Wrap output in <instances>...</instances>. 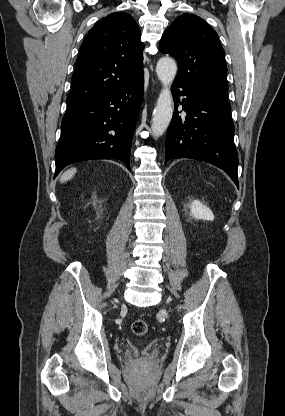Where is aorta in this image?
<instances>
[{
    "mask_svg": "<svg viewBox=\"0 0 285 416\" xmlns=\"http://www.w3.org/2000/svg\"><path fill=\"white\" fill-rule=\"evenodd\" d=\"M156 73L163 88L153 112L151 128L153 136L159 137L164 134L172 119L173 98L170 88L177 73V65L172 58L163 57L156 65Z\"/></svg>",
    "mask_w": 285,
    "mask_h": 416,
    "instance_id": "1",
    "label": "aorta"
}]
</instances>
